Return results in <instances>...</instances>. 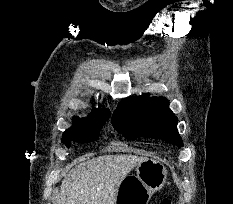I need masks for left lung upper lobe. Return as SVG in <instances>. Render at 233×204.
Segmentation results:
<instances>
[{"mask_svg": "<svg viewBox=\"0 0 233 204\" xmlns=\"http://www.w3.org/2000/svg\"><path fill=\"white\" fill-rule=\"evenodd\" d=\"M114 128L128 139L148 136L182 146L177 130V118L164 97L149 94L122 100L112 116Z\"/></svg>", "mask_w": 233, "mask_h": 204, "instance_id": "left-lung-upper-lobe-1", "label": "left lung upper lobe"}]
</instances>
